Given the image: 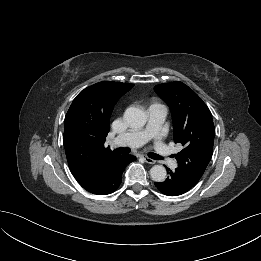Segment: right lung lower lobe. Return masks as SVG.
I'll list each match as a JSON object with an SVG mask.
<instances>
[{
  "mask_svg": "<svg viewBox=\"0 0 261 261\" xmlns=\"http://www.w3.org/2000/svg\"><path fill=\"white\" fill-rule=\"evenodd\" d=\"M135 160L136 158L132 155H120L108 163L92 180L81 184V186L88 192L96 195L112 193L121 184V176L126 166Z\"/></svg>",
  "mask_w": 261,
  "mask_h": 261,
  "instance_id": "98d812e1",
  "label": "right lung lower lobe"
}]
</instances>
